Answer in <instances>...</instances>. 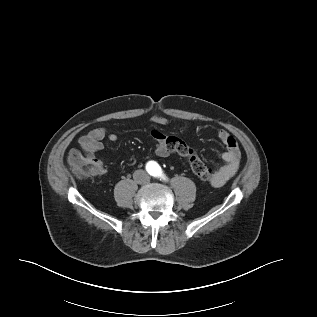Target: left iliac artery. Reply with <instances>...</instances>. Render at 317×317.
<instances>
[{
  "instance_id": "left-iliac-artery-1",
  "label": "left iliac artery",
  "mask_w": 317,
  "mask_h": 317,
  "mask_svg": "<svg viewBox=\"0 0 317 317\" xmlns=\"http://www.w3.org/2000/svg\"><path fill=\"white\" fill-rule=\"evenodd\" d=\"M162 179H163V180H167V178H166L165 175H162Z\"/></svg>"
}]
</instances>
